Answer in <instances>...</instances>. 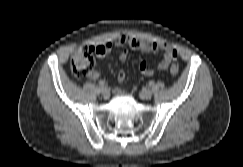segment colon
Returning <instances> with one entry per match:
<instances>
[{
  "instance_id": "obj_1",
  "label": "colon",
  "mask_w": 243,
  "mask_h": 167,
  "mask_svg": "<svg viewBox=\"0 0 243 167\" xmlns=\"http://www.w3.org/2000/svg\"><path fill=\"white\" fill-rule=\"evenodd\" d=\"M94 54V48L88 46L79 47L73 52L71 57V69L76 77L82 78L93 72L95 65ZM170 72L172 75H177L179 72V65L173 63L170 67Z\"/></svg>"
}]
</instances>
